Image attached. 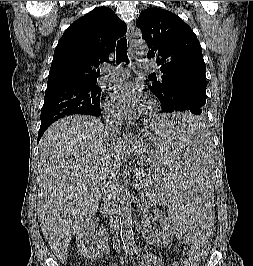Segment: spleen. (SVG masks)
<instances>
[{
  "mask_svg": "<svg viewBox=\"0 0 253 266\" xmlns=\"http://www.w3.org/2000/svg\"><path fill=\"white\" fill-rule=\"evenodd\" d=\"M194 111H170L155 117L158 145L146 166L145 187L169 210L170 229L180 248H206L217 229L209 189L214 170L211 138Z\"/></svg>",
  "mask_w": 253,
  "mask_h": 266,
  "instance_id": "3e777b00",
  "label": "spleen"
}]
</instances>
